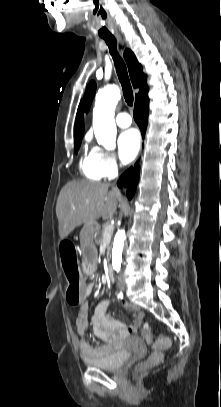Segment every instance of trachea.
Returning <instances> with one entry per match:
<instances>
[{
	"mask_svg": "<svg viewBox=\"0 0 221 407\" xmlns=\"http://www.w3.org/2000/svg\"><path fill=\"white\" fill-rule=\"evenodd\" d=\"M106 44L109 47L110 54L114 60V64L116 67V72L119 78V81L122 86L123 90V95L125 98V101L127 102L128 105L132 106L133 105V91H132V86L129 80V76L127 73V68L120 57L119 53L117 52V42L114 36H107V37H102Z\"/></svg>",
	"mask_w": 221,
	"mask_h": 407,
	"instance_id": "trachea-1",
	"label": "trachea"
}]
</instances>
